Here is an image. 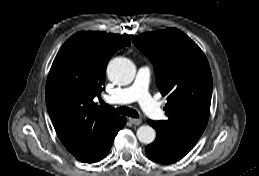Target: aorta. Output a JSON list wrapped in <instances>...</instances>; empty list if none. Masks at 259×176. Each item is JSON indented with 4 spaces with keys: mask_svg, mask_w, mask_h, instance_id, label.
Segmentation results:
<instances>
[{
    "mask_svg": "<svg viewBox=\"0 0 259 176\" xmlns=\"http://www.w3.org/2000/svg\"><path fill=\"white\" fill-rule=\"evenodd\" d=\"M135 66L127 58L117 57L112 59L107 67L108 78L119 85L130 84L135 77ZM137 138L141 143L150 144L156 138L155 130L149 125L140 126L137 129Z\"/></svg>",
    "mask_w": 259,
    "mask_h": 176,
    "instance_id": "762f6f07",
    "label": "aorta"
}]
</instances>
